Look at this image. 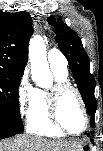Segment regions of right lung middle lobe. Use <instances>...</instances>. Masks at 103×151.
I'll list each match as a JSON object with an SVG mask.
<instances>
[{
  "mask_svg": "<svg viewBox=\"0 0 103 151\" xmlns=\"http://www.w3.org/2000/svg\"><path fill=\"white\" fill-rule=\"evenodd\" d=\"M21 76V73L0 68V134H19L24 130L18 104Z\"/></svg>",
  "mask_w": 103,
  "mask_h": 151,
  "instance_id": "dd1d6c3e",
  "label": "right lung middle lobe"
}]
</instances>
